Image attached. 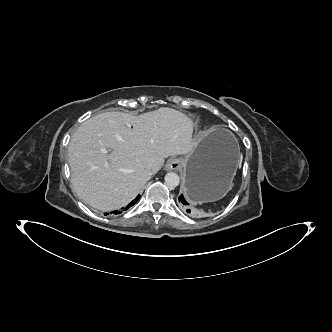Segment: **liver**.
<instances>
[{
  "instance_id": "liver-1",
  "label": "liver",
  "mask_w": 332,
  "mask_h": 332,
  "mask_svg": "<svg viewBox=\"0 0 332 332\" xmlns=\"http://www.w3.org/2000/svg\"><path fill=\"white\" fill-rule=\"evenodd\" d=\"M192 134V120L167 107L140 116L122 112L93 116L78 127L68 146L72 187L99 210L124 207L161 169L165 158L193 151L202 136Z\"/></svg>"
}]
</instances>
